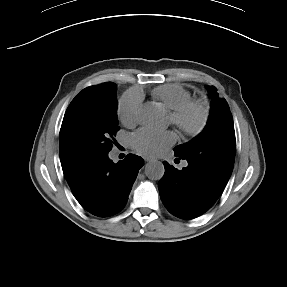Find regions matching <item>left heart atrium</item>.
I'll return each mask as SVG.
<instances>
[{
  "instance_id": "obj_1",
  "label": "left heart atrium",
  "mask_w": 287,
  "mask_h": 287,
  "mask_svg": "<svg viewBox=\"0 0 287 287\" xmlns=\"http://www.w3.org/2000/svg\"><path fill=\"white\" fill-rule=\"evenodd\" d=\"M175 141L173 132L141 130L133 136L132 145L140 154L155 157L164 153Z\"/></svg>"
}]
</instances>
